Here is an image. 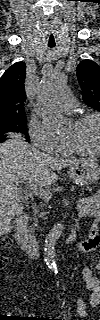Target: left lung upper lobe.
I'll return each instance as SVG.
<instances>
[{"label":"left lung upper lobe","instance_id":"5c2ea615","mask_svg":"<svg viewBox=\"0 0 100 320\" xmlns=\"http://www.w3.org/2000/svg\"><path fill=\"white\" fill-rule=\"evenodd\" d=\"M77 78L82 88L83 101L100 111V66L91 60H83L77 66Z\"/></svg>","mask_w":100,"mask_h":320}]
</instances>
